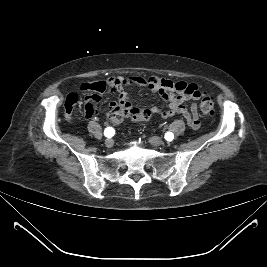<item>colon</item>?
Returning <instances> with one entry per match:
<instances>
[{
	"label": "colon",
	"mask_w": 267,
	"mask_h": 267,
	"mask_svg": "<svg viewBox=\"0 0 267 267\" xmlns=\"http://www.w3.org/2000/svg\"><path fill=\"white\" fill-rule=\"evenodd\" d=\"M200 110L206 116L214 113V103L211 97L203 96L200 100ZM125 116H130L136 122L147 121L151 111L143 107H132L130 109H112L108 113L109 123L117 125L122 122Z\"/></svg>",
	"instance_id": "5ec220e1"
}]
</instances>
